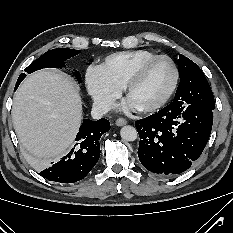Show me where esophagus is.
<instances>
[{"label":"esophagus","mask_w":233,"mask_h":233,"mask_svg":"<svg viewBox=\"0 0 233 233\" xmlns=\"http://www.w3.org/2000/svg\"><path fill=\"white\" fill-rule=\"evenodd\" d=\"M127 124V120H125V119H123V118H118L117 120H116V125L117 126H124V125H126Z\"/></svg>","instance_id":"1"}]
</instances>
